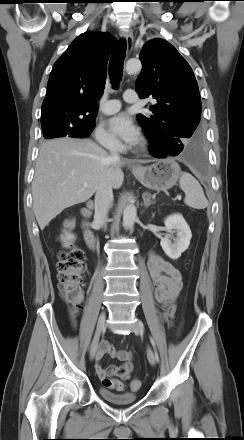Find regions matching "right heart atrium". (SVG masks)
<instances>
[{
	"label": "right heart atrium",
	"mask_w": 244,
	"mask_h": 440,
	"mask_svg": "<svg viewBox=\"0 0 244 440\" xmlns=\"http://www.w3.org/2000/svg\"><path fill=\"white\" fill-rule=\"evenodd\" d=\"M98 143L107 148H116L120 145L119 141L110 134L103 126H99L95 132Z\"/></svg>",
	"instance_id": "d8ad5b80"
}]
</instances>
